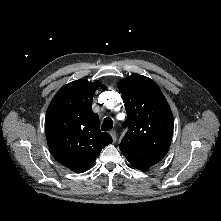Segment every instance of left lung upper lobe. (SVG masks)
Masks as SVG:
<instances>
[{
  "mask_svg": "<svg viewBox=\"0 0 221 221\" xmlns=\"http://www.w3.org/2000/svg\"><path fill=\"white\" fill-rule=\"evenodd\" d=\"M128 131L119 148L132 166L146 170L167 154L173 134L171 109L153 80L133 74L121 80Z\"/></svg>",
  "mask_w": 221,
  "mask_h": 221,
  "instance_id": "5c2ea615",
  "label": "left lung upper lobe"
}]
</instances>
